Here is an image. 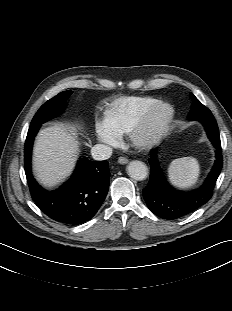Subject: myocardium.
<instances>
[{"mask_svg": "<svg viewBox=\"0 0 232 311\" xmlns=\"http://www.w3.org/2000/svg\"><path fill=\"white\" fill-rule=\"evenodd\" d=\"M161 114V117L154 126H151V120ZM174 116V108L171 104L158 101L150 106L135 122L129 131L131 143L140 148H146L153 145L166 131Z\"/></svg>", "mask_w": 232, "mask_h": 311, "instance_id": "1", "label": "myocardium"}]
</instances>
